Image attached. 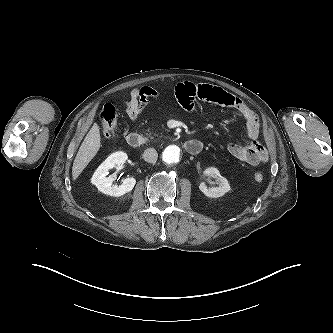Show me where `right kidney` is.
<instances>
[{
  "mask_svg": "<svg viewBox=\"0 0 333 333\" xmlns=\"http://www.w3.org/2000/svg\"><path fill=\"white\" fill-rule=\"evenodd\" d=\"M127 154L124 152H115L111 154L94 172L91 183L94 184L99 191L104 194L119 197L130 192L136 184L133 177L126 178L121 185L113 184L114 177L107 176L109 170L125 163Z\"/></svg>",
  "mask_w": 333,
  "mask_h": 333,
  "instance_id": "obj_1",
  "label": "right kidney"
}]
</instances>
